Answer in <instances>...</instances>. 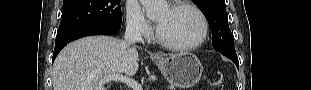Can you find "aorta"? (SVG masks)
<instances>
[{"instance_id": "obj_1", "label": "aorta", "mask_w": 311, "mask_h": 90, "mask_svg": "<svg viewBox=\"0 0 311 90\" xmlns=\"http://www.w3.org/2000/svg\"><path fill=\"white\" fill-rule=\"evenodd\" d=\"M140 2L149 18L157 16L167 7L166 0H140Z\"/></svg>"}]
</instances>
